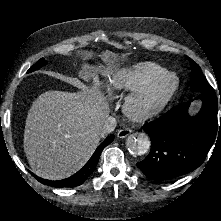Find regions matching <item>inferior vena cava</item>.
I'll use <instances>...</instances> for the list:
<instances>
[{
	"instance_id": "602c4592",
	"label": "inferior vena cava",
	"mask_w": 221,
	"mask_h": 221,
	"mask_svg": "<svg viewBox=\"0 0 221 221\" xmlns=\"http://www.w3.org/2000/svg\"><path fill=\"white\" fill-rule=\"evenodd\" d=\"M116 127V119L114 117H107L102 127V133L107 134L114 131Z\"/></svg>"
}]
</instances>
